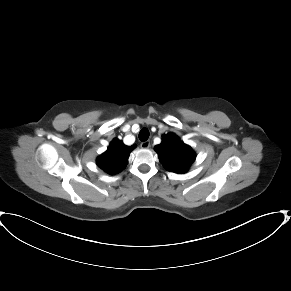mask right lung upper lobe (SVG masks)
<instances>
[{
	"label": "right lung upper lobe",
	"instance_id": "obj_1",
	"mask_svg": "<svg viewBox=\"0 0 291 291\" xmlns=\"http://www.w3.org/2000/svg\"><path fill=\"white\" fill-rule=\"evenodd\" d=\"M135 147V145L126 146L121 140L115 138L107 151L97 158V165L108 174H117L125 168L130 152Z\"/></svg>",
	"mask_w": 291,
	"mask_h": 291
}]
</instances>
